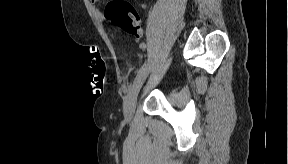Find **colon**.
Here are the masks:
<instances>
[{"label": "colon", "instance_id": "1", "mask_svg": "<svg viewBox=\"0 0 288 164\" xmlns=\"http://www.w3.org/2000/svg\"><path fill=\"white\" fill-rule=\"evenodd\" d=\"M105 19L139 40L144 39L140 16L127 0H110L104 11Z\"/></svg>", "mask_w": 288, "mask_h": 164}]
</instances>
